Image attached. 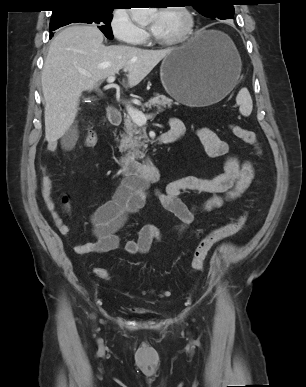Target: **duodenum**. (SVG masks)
Wrapping results in <instances>:
<instances>
[{"mask_svg": "<svg viewBox=\"0 0 306 387\" xmlns=\"http://www.w3.org/2000/svg\"><path fill=\"white\" fill-rule=\"evenodd\" d=\"M107 115L112 125H119L122 121V115L115 107H110ZM179 138L180 135L178 134L166 132L158 137V143L168 144ZM119 167L126 177L136 181L155 182L160 177V171L152 159L141 162L130 157H125L119 160Z\"/></svg>", "mask_w": 306, "mask_h": 387, "instance_id": "duodenum-1", "label": "duodenum"}]
</instances>
